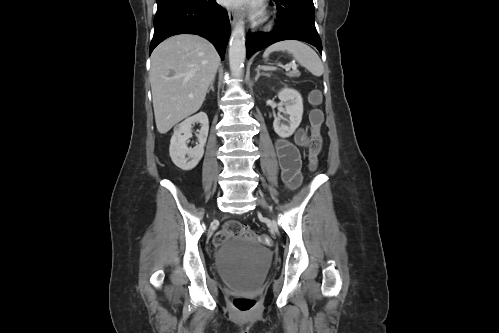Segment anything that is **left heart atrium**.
I'll list each match as a JSON object with an SVG mask.
<instances>
[{"label":"left heart atrium","instance_id":"39dd6f15","mask_svg":"<svg viewBox=\"0 0 499 333\" xmlns=\"http://www.w3.org/2000/svg\"><path fill=\"white\" fill-rule=\"evenodd\" d=\"M225 5L232 6L241 3L242 0H222Z\"/></svg>","mask_w":499,"mask_h":333}]
</instances>
